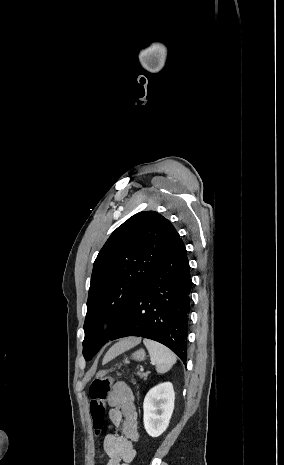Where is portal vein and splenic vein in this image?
<instances>
[{"mask_svg": "<svg viewBox=\"0 0 284 465\" xmlns=\"http://www.w3.org/2000/svg\"><path fill=\"white\" fill-rule=\"evenodd\" d=\"M151 365H155V363H151Z\"/></svg>", "mask_w": 284, "mask_h": 465, "instance_id": "obj_1", "label": "portal vein and splenic vein"}]
</instances>
